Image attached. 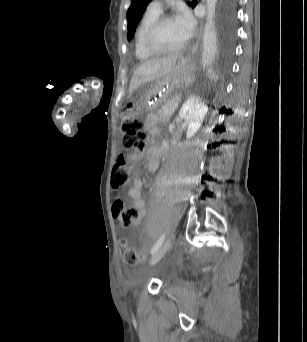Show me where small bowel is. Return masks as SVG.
<instances>
[{
  "mask_svg": "<svg viewBox=\"0 0 307 342\" xmlns=\"http://www.w3.org/2000/svg\"><path fill=\"white\" fill-rule=\"evenodd\" d=\"M168 145L166 142H163L161 147L158 149L156 147H150L147 152V168L151 171H154L158 168L159 165V156L161 152L167 150ZM130 159L133 163H136L139 160V157L135 154L130 156ZM143 188V181L135 177L132 180V184L130 189L128 190V196L131 200L132 206L137 210V218L133 222L134 227H138L141 224L142 218L145 215V203L141 195V190Z\"/></svg>",
  "mask_w": 307,
  "mask_h": 342,
  "instance_id": "1",
  "label": "small bowel"
}]
</instances>
